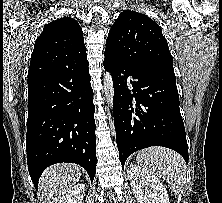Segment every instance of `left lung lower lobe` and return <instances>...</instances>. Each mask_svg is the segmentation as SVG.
<instances>
[{"label":"left lung lower lobe","instance_id":"left-lung-lower-lobe-1","mask_svg":"<svg viewBox=\"0 0 222 203\" xmlns=\"http://www.w3.org/2000/svg\"><path fill=\"white\" fill-rule=\"evenodd\" d=\"M104 67L112 71L114 124L122 167L129 155L150 146L170 148L188 163L174 71L128 64L107 52Z\"/></svg>","mask_w":222,"mask_h":203}]
</instances>
